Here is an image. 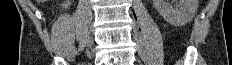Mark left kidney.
I'll list each match as a JSON object with an SVG mask.
<instances>
[{
    "label": "left kidney",
    "instance_id": "5707ae66",
    "mask_svg": "<svg viewBox=\"0 0 232 65\" xmlns=\"http://www.w3.org/2000/svg\"><path fill=\"white\" fill-rule=\"evenodd\" d=\"M180 3L173 7L166 0H153L158 13L171 25L183 26L195 16L198 8L197 0H179Z\"/></svg>",
    "mask_w": 232,
    "mask_h": 65
}]
</instances>
